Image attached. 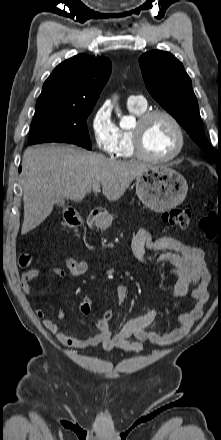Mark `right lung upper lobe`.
Segmentation results:
<instances>
[{
	"mask_svg": "<svg viewBox=\"0 0 221 440\" xmlns=\"http://www.w3.org/2000/svg\"><path fill=\"white\" fill-rule=\"evenodd\" d=\"M111 62L85 54L59 64L43 85L37 104L45 101L72 106H93L109 79Z\"/></svg>",
	"mask_w": 221,
	"mask_h": 440,
	"instance_id": "right-lung-upper-lobe-1",
	"label": "right lung upper lobe"
}]
</instances>
